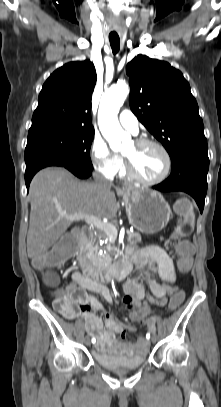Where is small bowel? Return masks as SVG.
Returning <instances> with one entry per match:
<instances>
[{
  "label": "small bowel",
  "instance_id": "c3829d8e",
  "mask_svg": "<svg viewBox=\"0 0 221 407\" xmlns=\"http://www.w3.org/2000/svg\"><path fill=\"white\" fill-rule=\"evenodd\" d=\"M127 255L132 259L139 274L124 285L125 296L122 301L127 312L133 305H149L142 303L146 297L151 303L168 307V297L170 298L171 292L178 289L176 269L171 257L157 246L129 248ZM67 289L77 294L78 301L64 316L70 319L77 317L83 319L85 329L94 337L95 348L99 352L125 353L133 356L147 350L148 345L143 338H139L134 344L123 341L127 333L134 331V327L118 321L112 313L104 312L105 328L103 327V322L97 315V312H103V306L97 294L101 295L106 302L112 303L110 291L105 285L75 270L71 274V283ZM129 319L136 322L133 318ZM143 323L150 324L145 321Z\"/></svg>",
  "mask_w": 221,
  "mask_h": 407
}]
</instances>
